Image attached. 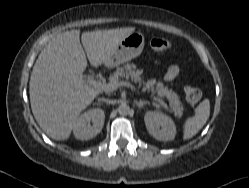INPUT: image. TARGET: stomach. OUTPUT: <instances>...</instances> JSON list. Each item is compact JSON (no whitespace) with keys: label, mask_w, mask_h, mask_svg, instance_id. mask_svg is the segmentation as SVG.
Here are the masks:
<instances>
[{"label":"stomach","mask_w":249,"mask_h":188,"mask_svg":"<svg viewBox=\"0 0 249 188\" xmlns=\"http://www.w3.org/2000/svg\"><path fill=\"white\" fill-rule=\"evenodd\" d=\"M145 39L142 33L133 32L124 38L109 54L104 65L108 68L117 67L139 56L144 48Z\"/></svg>","instance_id":"obj_1"}]
</instances>
